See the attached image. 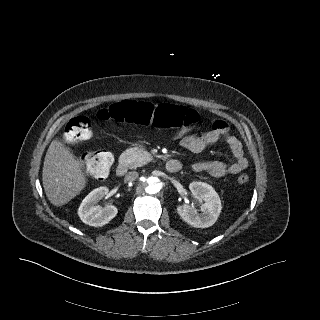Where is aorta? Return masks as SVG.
Returning a JSON list of instances; mask_svg holds the SVG:
<instances>
[{"label": "aorta", "mask_w": 320, "mask_h": 320, "mask_svg": "<svg viewBox=\"0 0 320 320\" xmlns=\"http://www.w3.org/2000/svg\"><path fill=\"white\" fill-rule=\"evenodd\" d=\"M145 190L148 194H156L161 190V183L156 177H147L144 182Z\"/></svg>", "instance_id": "762f6f07"}]
</instances>
